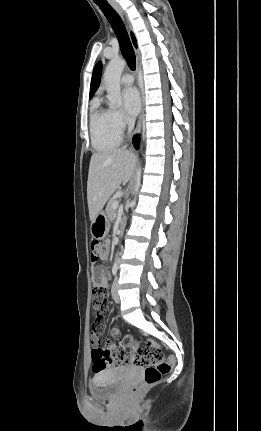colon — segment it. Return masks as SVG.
<instances>
[{"label":"colon","mask_w":261,"mask_h":431,"mask_svg":"<svg viewBox=\"0 0 261 431\" xmlns=\"http://www.w3.org/2000/svg\"><path fill=\"white\" fill-rule=\"evenodd\" d=\"M107 254L108 245L106 243L100 241H93L91 243V260L93 262L103 259ZM124 345L130 347L131 351L126 355L121 354L123 360L126 363L144 367V385L150 386L157 383L163 374L171 370V362L165 359L163 351L155 341L146 340L137 342L127 336L124 339ZM93 359V373L95 375H100L103 369L110 370L116 367V362L111 360L110 352L107 348L94 350ZM141 389V386H135L132 388L131 393L136 395Z\"/></svg>","instance_id":"obj_1"}]
</instances>
